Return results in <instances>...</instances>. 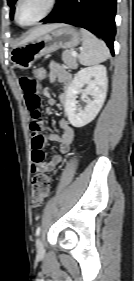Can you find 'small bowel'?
I'll return each mask as SVG.
<instances>
[{"mask_svg":"<svg viewBox=\"0 0 134 281\" xmlns=\"http://www.w3.org/2000/svg\"><path fill=\"white\" fill-rule=\"evenodd\" d=\"M47 80L50 83L59 82L62 90L59 94L60 102L65 105L67 102V90L71 82V74L60 64L52 61L49 65ZM18 84L24 93V100L29 111L32 132V171L33 172H50L63 162V155L70 150V145L74 140V129L65 120L59 121L61 132L51 133L46 136L43 133L44 122L40 112V97L47 100L48 105L55 104V99L49 88H42L35 77L30 75H21L18 78ZM47 140L56 143L59 147V153L54 154L49 161H44V147Z\"/></svg>","mask_w":134,"mask_h":281,"instance_id":"small-bowel-1","label":"small bowel"}]
</instances>
